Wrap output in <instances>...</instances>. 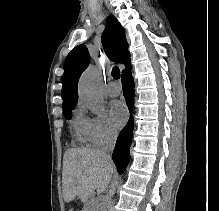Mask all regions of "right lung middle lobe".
Returning <instances> with one entry per match:
<instances>
[{"mask_svg":"<svg viewBox=\"0 0 219 211\" xmlns=\"http://www.w3.org/2000/svg\"><path fill=\"white\" fill-rule=\"evenodd\" d=\"M75 105H76V103H71V104L63 105V116L65 118H67V119L71 118L72 109L74 108Z\"/></svg>","mask_w":219,"mask_h":211,"instance_id":"1","label":"right lung middle lobe"}]
</instances>
